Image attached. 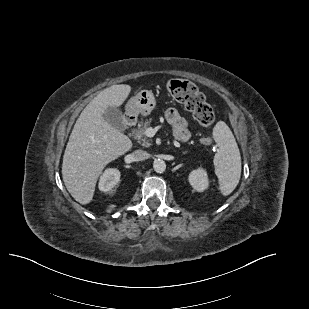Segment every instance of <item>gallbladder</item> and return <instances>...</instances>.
<instances>
[{
	"mask_svg": "<svg viewBox=\"0 0 309 309\" xmlns=\"http://www.w3.org/2000/svg\"><path fill=\"white\" fill-rule=\"evenodd\" d=\"M103 117L111 126L119 131H124L127 127L123 120V114L117 107H108L105 110Z\"/></svg>",
	"mask_w": 309,
	"mask_h": 309,
	"instance_id": "obj_1",
	"label": "gallbladder"
}]
</instances>
